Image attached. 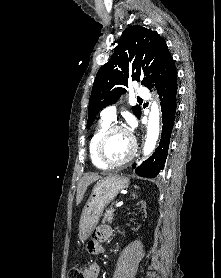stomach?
<instances>
[{
	"label": "stomach",
	"instance_id": "stomach-1",
	"mask_svg": "<svg viewBox=\"0 0 221 278\" xmlns=\"http://www.w3.org/2000/svg\"><path fill=\"white\" fill-rule=\"evenodd\" d=\"M129 180L120 175H110L96 183L85 204L79 223V238L86 241L102 215L104 208L112 202L120 191L127 188Z\"/></svg>",
	"mask_w": 221,
	"mask_h": 278
}]
</instances>
